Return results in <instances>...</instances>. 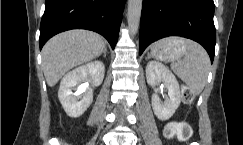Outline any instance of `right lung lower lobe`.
I'll list each match as a JSON object with an SVG mask.
<instances>
[{
  "label": "right lung lower lobe",
  "instance_id": "98d812e1",
  "mask_svg": "<svg viewBox=\"0 0 243 145\" xmlns=\"http://www.w3.org/2000/svg\"><path fill=\"white\" fill-rule=\"evenodd\" d=\"M126 0H46L40 25V49L57 33L88 29L103 35L114 49Z\"/></svg>",
  "mask_w": 243,
  "mask_h": 145
}]
</instances>
